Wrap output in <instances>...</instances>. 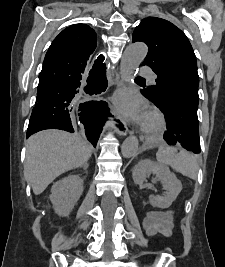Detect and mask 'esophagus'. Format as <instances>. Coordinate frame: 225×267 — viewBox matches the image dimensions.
<instances>
[{"label": "esophagus", "instance_id": "obj_1", "mask_svg": "<svg viewBox=\"0 0 225 267\" xmlns=\"http://www.w3.org/2000/svg\"><path fill=\"white\" fill-rule=\"evenodd\" d=\"M123 85H124L123 80L119 76H117L115 79V86L117 88H121L123 87ZM112 113L116 119V124H117L116 131L120 135H123V136L127 135L128 128L122 116L119 114V112L115 108L112 109Z\"/></svg>", "mask_w": 225, "mask_h": 267}]
</instances>
